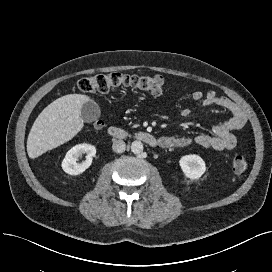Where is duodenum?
<instances>
[{"label":"duodenum","instance_id":"1","mask_svg":"<svg viewBox=\"0 0 272 272\" xmlns=\"http://www.w3.org/2000/svg\"><path fill=\"white\" fill-rule=\"evenodd\" d=\"M108 134L113 139L123 140V139L133 138V139L140 140L152 147H156L157 145H159V140L154 135L146 131L128 133L119 127L112 126L109 128Z\"/></svg>","mask_w":272,"mask_h":272}]
</instances>
